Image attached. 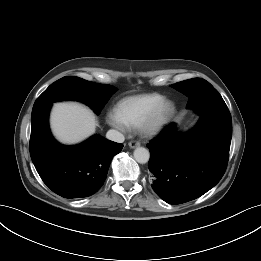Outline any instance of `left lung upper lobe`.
I'll list each match as a JSON object with an SVG mask.
<instances>
[{"label":"left lung upper lobe","instance_id":"obj_1","mask_svg":"<svg viewBox=\"0 0 261 261\" xmlns=\"http://www.w3.org/2000/svg\"><path fill=\"white\" fill-rule=\"evenodd\" d=\"M172 87L181 93L185 94L189 100L187 103V108H191L195 110L197 113L202 112L206 109L220 110L225 111L228 110L224 100L218 91L206 80L195 78L189 79L182 82H178L173 84ZM208 89L210 93L213 95L211 101L209 100L204 90Z\"/></svg>","mask_w":261,"mask_h":261}]
</instances>
